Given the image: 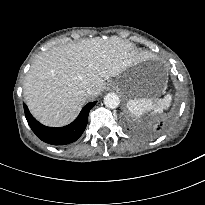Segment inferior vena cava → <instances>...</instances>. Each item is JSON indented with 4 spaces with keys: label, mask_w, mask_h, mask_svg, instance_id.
<instances>
[{
    "label": "inferior vena cava",
    "mask_w": 205,
    "mask_h": 205,
    "mask_svg": "<svg viewBox=\"0 0 205 205\" xmlns=\"http://www.w3.org/2000/svg\"><path fill=\"white\" fill-rule=\"evenodd\" d=\"M86 92H87V94L91 95V94H92L91 88H87V89H86Z\"/></svg>",
    "instance_id": "obj_1"
}]
</instances>
